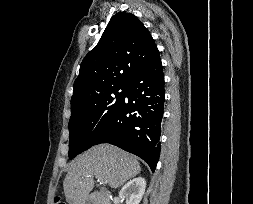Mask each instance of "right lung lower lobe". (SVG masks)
I'll return each instance as SVG.
<instances>
[{
    "mask_svg": "<svg viewBox=\"0 0 253 204\" xmlns=\"http://www.w3.org/2000/svg\"><path fill=\"white\" fill-rule=\"evenodd\" d=\"M125 97L128 99L125 100ZM124 100L94 145L110 143L133 153L154 171L160 155L164 75L158 49L125 87Z\"/></svg>",
    "mask_w": 253,
    "mask_h": 204,
    "instance_id": "1",
    "label": "right lung lower lobe"
}]
</instances>
